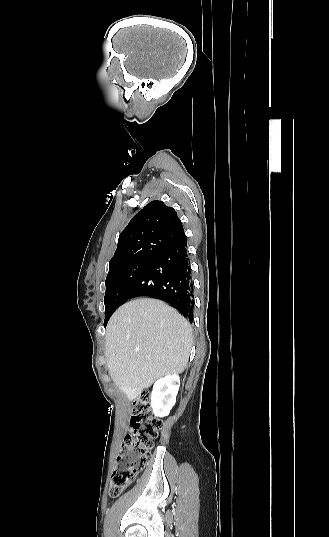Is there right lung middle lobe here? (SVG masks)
<instances>
[{
	"mask_svg": "<svg viewBox=\"0 0 329 537\" xmlns=\"http://www.w3.org/2000/svg\"><path fill=\"white\" fill-rule=\"evenodd\" d=\"M152 260L142 259L125 263L113 270H110L106 278V292L104 298L105 321L104 326L115 308L122 303L126 291L149 266Z\"/></svg>",
	"mask_w": 329,
	"mask_h": 537,
	"instance_id": "dd1d6c3e",
	"label": "right lung middle lobe"
}]
</instances>
